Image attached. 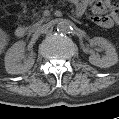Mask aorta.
I'll list each match as a JSON object with an SVG mask.
<instances>
[{"label":"aorta","instance_id":"762f6f07","mask_svg":"<svg viewBox=\"0 0 119 119\" xmlns=\"http://www.w3.org/2000/svg\"><path fill=\"white\" fill-rule=\"evenodd\" d=\"M71 30V25L66 20H61L57 24V31L60 33H68Z\"/></svg>","mask_w":119,"mask_h":119}]
</instances>
